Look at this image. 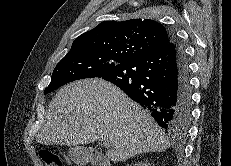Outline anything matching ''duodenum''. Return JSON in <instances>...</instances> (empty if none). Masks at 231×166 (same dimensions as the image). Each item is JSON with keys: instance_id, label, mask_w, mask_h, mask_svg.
<instances>
[{"instance_id": "410a0bca", "label": "duodenum", "mask_w": 231, "mask_h": 166, "mask_svg": "<svg viewBox=\"0 0 231 166\" xmlns=\"http://www.w3.org/2000/svg\"><path fill=\"white\" fill-rule=\"evenodd\" d=\"M78 158L92 164L93 166H109L105 158L95 151H81L78 154Z\"/></svg>"}]
</instances>
